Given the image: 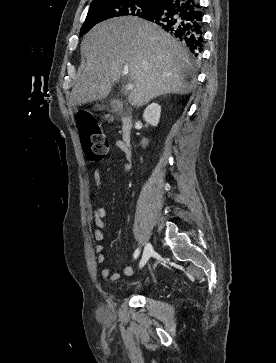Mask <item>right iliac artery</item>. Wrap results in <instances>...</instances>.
Instances as JSON below:
<instances>
[{
	"label": "right iliac artery",
	"instance_id": "1",
	"mask_svg": "<svg viewBox=\"0 0 276 363\" xmlns=\"http://www.w3.org/2000/svg\"><path fill=\"white\" fill-rule=\"evenodd\" d=\"M139 253H140L139 249H136V251L134 252V258L135 259L139 256ZM144 264H145V262H141L140 267H143Z\"/></svg>",
	"mask_w": 276,
	"mask_h": 363
}]
</instances>
